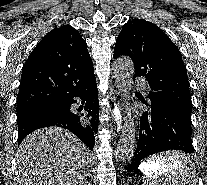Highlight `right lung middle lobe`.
I'll use <instances>...</instances> for the list:
<instances>
[{"mask_svg": "<svg viewBox=\"0 0 207 185\" xmlns=\"http://www.w3.org/2000/svg\"><path fill=\"white\" fill-rule=\"evenodd\" d=\"M28 112H30V111L17 112V118L20 117V116H22V115H24V114H26V113H28Z\"/></svg>", "mask_w": 207, "mask_h": 185, "instance_id": "1", "label": "right lung middle lobe"}]
</instances>
